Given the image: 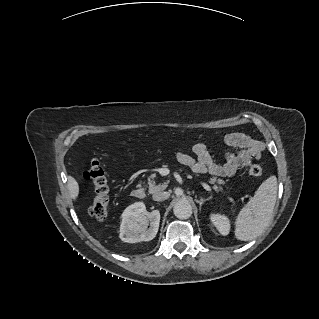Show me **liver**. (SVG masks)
Instances as JSON below:
<instances>
[{
    "mask_svg": "<svg viewBox=\"0 0 319 319\" xmlns=\"http://www.w3.org/2000/svg\"><path fill=\"white\" fill-rule=\"evenodd\" d=\"M68 185H69L70 194L72 198L76 200L79 194V185L77 181L73 177H70L68 180Z\"/></svg>",
    "mask_w": 319,
    "mask_h": 319,
    "instance_id": "1",
    "label": "liver"
}]
</instances>
